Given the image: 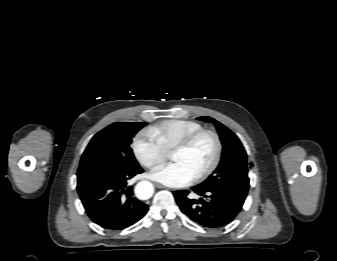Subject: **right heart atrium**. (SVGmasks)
<instances>
[{"label":"right heart atrium","instance_id":"obj_1","mask_svg":"<svg viewBox=\"0 0 337 261\" xmlns=\"http://www.w3.org/2000/svg\"><path fill=\"white\" fill-rule=\"evenodd\" d=\"M133 151L139 162L147 167L152 168L163 162L168 152L162 147L159 141L150 131H140L134 138Z\"/></svg>","mask_w":337,"mask_h":261}]
</instances>
